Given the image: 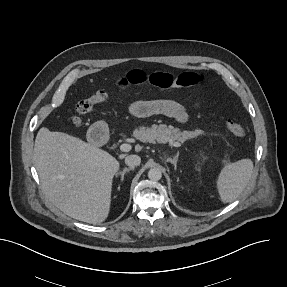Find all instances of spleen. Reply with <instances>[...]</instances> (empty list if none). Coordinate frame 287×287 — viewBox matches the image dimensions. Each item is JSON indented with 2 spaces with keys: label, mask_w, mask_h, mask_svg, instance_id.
Here are the masks:
<instances>
[{
  "label": "spleen",
  "mask_w": 287,
  "mask_h": 287,
  "mask_svg": "<svg viewBox=\"0 0 287 287\" xmlns=\"http://www.w3.org/2000/svg\"><path fill=\"white\" fill-rule=\"evenodd\" d=\"M253 173L251 159L225 165L217 178V189L224 203L232 202L244 191Z\"/></svg>",
  "instance_id": "3e777b00"
}]
</instances>
